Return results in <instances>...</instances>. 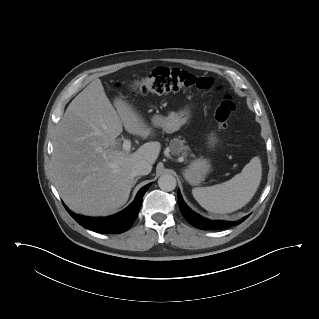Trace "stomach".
<instances>
[{"instance_id":"obj_1","label":"stomach","mask_w":319,"mask_h":319,"mask_svg":"<svg viewBox=\"0 0 319 319\" xmlns=\"http://www.w3.org/2000/svg\"><path fill=\"white\" fill-rule=\"evenodd\" d=\"M190 108L187 106L178 112H171L168 117L154 115L152 124L155 127H161L166 133L178 131L190 118ZM217 142L216 137L212 134L209 138V144L214 146ZM211 171V163L208 159L198 158L193 160L183 171L185 180L191 185H198Z\"/></svg>"}]
</instances>
